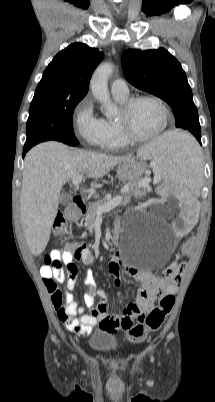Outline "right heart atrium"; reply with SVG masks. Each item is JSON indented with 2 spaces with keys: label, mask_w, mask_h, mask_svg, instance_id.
Returning a JSON list of instances; mask_svg holds the SVG:
<instances>
[{
  "label": "right heart atrium",
  "mask_w": 215,
  "mask_h": 402,
  "mask_svg": "<svg viewBox=\"0 0 215 402\" xmlns=\"http://www.w3.org/2000/svg\"><path fill=\"white\" fill-rule=\"evenodd\" d=\"M74 130L79 139L88 146H103L107 137L105 121L96 116L90 98L81 100L74 110Z\"/></svg>",
  "instance_id": "right-heart-atrium-1"
}]
</instances>
